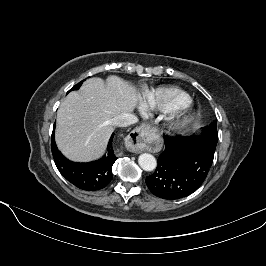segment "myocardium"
Wrapping results in <instances>:
<instances>
[{"label": "myocardium", "mask_w": 266, "mask_h": 266, "mask_svg": "<svg viewBox=\"0 0 266 266\" xmlns=\"http://www.w3.org/2000/svg\"><path fill=\"white\" fill-rule=\"evenodd\" d=\"M192 116V111L186 107L175 111L168 120V130L174 133L184 130L191 122Z\"/></svg>", "instance_id": "obj_1"}]
</instances>
